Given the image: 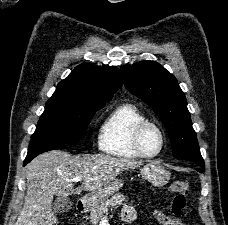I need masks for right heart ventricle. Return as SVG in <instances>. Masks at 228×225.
Here are the masks:
<instances>
[{
	"instance_id": "e07e8e85",
	"label": "right heart ventricle",
	"mask_w": 228,
	"mask_h": 225,
	"mask_svg": "<svg viewBox=\"0 0 228 225\" xmlns=\"http://www.w3.org/2000/svg\"><path fill=\"white\" fill-rule=\"evenodd\" d=\"M148 120L139 107L133 103H123L114 108L104 121L98 146L106 154L139 159L143 156L134 146V133L137 126Z\"/></svg>"
}]
</instances>
